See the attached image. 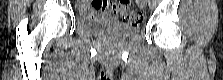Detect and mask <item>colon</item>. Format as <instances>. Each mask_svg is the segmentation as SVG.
<instances>
[{"instance_id":"obj_1","label":"colon","mask_w":223,"mask_h":80,"mask_svg":"<svg viewBox=\"0 0 223 80\" xmlns=\"http://www.w3.org/2000/svg\"><path fill=\"white\" fill-rule=\"evenodd\" d=\"M123 21L128 24L137 25L142 22V14L137 9H129V1L121 0L117 2Z\"/></svg>"}]
</instances>
